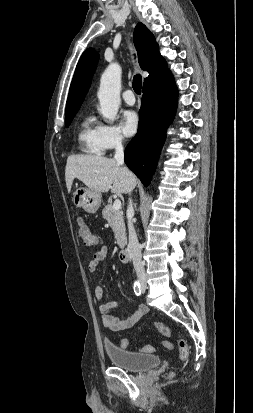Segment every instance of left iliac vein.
Listing matches in <instances>:
<instances>
[{"label":"left iliac vein","mask_w":253,"mask_h":413,"mask_svg":"<svg viewBox=\"0 0 253 413\" xmlns=\"http://www.w3.org/2000/svg\"><path fill=\"white\" fill-rule=\"evenodd\" d=\"M145 289H146V285H143L142 286V292H145Z\"/></svg>","instance_id":"obj_1"}]
</instances>
